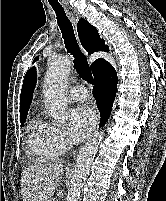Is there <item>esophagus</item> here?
I'll return each mask as SVG.
<instances>
[{"label":"esophagus","instance_id":"esophagus-1","mask_svg":"<svg viewBox=\"0 0 166 201\" xmlns=\"http://www.w3.org/2000/svg\"><path fill=\"white\" fill-rule=\"evenodd\" d=\"M74 23H76V19H74ZM84 53H86V51L83 49ZM98 132V129L95 130L94 133H97Z\"/></svg>","mask_w":166,"mask_h":201}]
</instances>
